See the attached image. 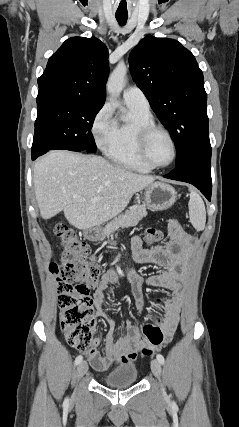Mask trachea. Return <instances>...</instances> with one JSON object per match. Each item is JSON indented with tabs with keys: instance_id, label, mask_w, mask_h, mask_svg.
<instances>
[{
	"instance_id": "1",
	"label": "trachea",
	"mask_w": 239,
	"mask_h": 427,
	"mask_svg": "<svg viewBox=\"0 0 239 427\" xmlns=\"http://www.w3.org/2000/svg\"><path fill=\"white\" fill-rule=\"evenodd\" d=\"M115 17H116V20H117V22L119 23L120 26H123V25L126 24L128 16H126V15H116Z\"/></svg>"
}]
</instances>
